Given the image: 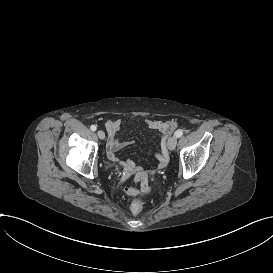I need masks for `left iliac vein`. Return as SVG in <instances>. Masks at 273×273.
<instances>
[{
	"instance_id": "4c4485c4",
	"label": "left iliac vein",
	"mask_w": 273,
	"mask_h": 273,
	"mask_svg": "<svg viewBox=\"0 0 273 273\" xmlns=\"http://www.w3.org/2000/svg\"><path fill=\"white\" fill-rule=\"evenodd\" d=\"M177 144V137L176 136H171L168 140L167 146L169 150H174Z\"/></svg>"
}]
</instances>
